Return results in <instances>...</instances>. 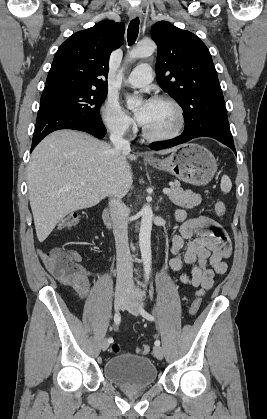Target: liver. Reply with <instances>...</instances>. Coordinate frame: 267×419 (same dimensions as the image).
I'll return each instance as SVG.
<instances>
[{
    "label": "liver",
    "mask_w": 267,
    "mask_h": 419,
    "mask_svg": "<svg viewBox=\"0 0 267 419\" xmlns=\"http://www.w3.org/2000/svg\"><path fill=\"white\" fill-rule=\"evenodd\" d=\"M136 159L83 132L58 130L46 136L32 152L27 174L38 240L43 242L69 213L107 196L123 197L133 182L129 161Z\"/></svg>",
    "instance_id": "liver-1"
}]
</instances>
